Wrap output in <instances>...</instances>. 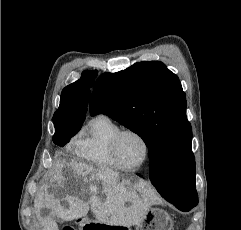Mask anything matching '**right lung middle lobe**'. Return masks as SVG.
<instances>
[{
    "mask_svg": "<svg viewBox=\"0 0 241 230\" xmlns=\"http://www.w3.org/2000/svg\"><path fill=\"white\" fill-rule=\"evenodd\" d=\"M54 125L55 134L53 136V142L61 147L68 143L70 138L77 134L82 126L69 122L54 123Z\"/></svg>",
    "mask_w": 241,
    "mask_h": 230,
    "instance_id": "1",
    "label": "right lung middle lobe"
}]
</instances>
